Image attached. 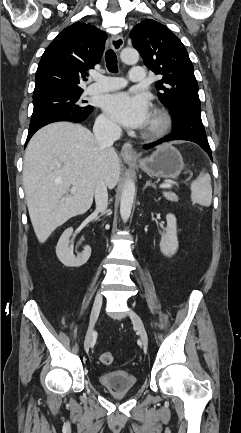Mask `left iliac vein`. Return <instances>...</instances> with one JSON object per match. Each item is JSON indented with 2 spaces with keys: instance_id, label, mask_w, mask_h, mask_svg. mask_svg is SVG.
I'll use <instances>...</instances> for the list:
<instances>
[{
  "instance_id": "1",
  "label": "left iliac vein",
  "mask_w": 241,
  "mask_h": 433,
  "mask_svg": "<svg viewBox=\"0 0 241 433\" xmlns=\"http://www.w3.org/2000/svg\"><path fill=\"white\" fill-rule=\"evenodd\" d=\"M129 316H130L134 326L136 327V329L138 331V334H139L140 339L142 341L143 348L146 349L148 346V335H147V332H146V329L144 327L142 319L133 310H130Z\"/></svg>"
}]
</instances>
